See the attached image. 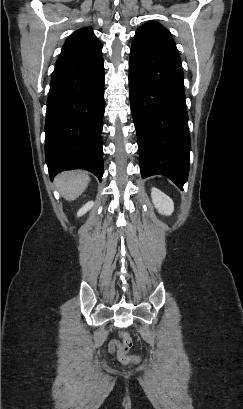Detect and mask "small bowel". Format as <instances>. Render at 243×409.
<instances>
[{
	"label": "small bowel",
	"instance_id": "small-bowel-1",
	"mask_svg": "<svg viewBox=\"0 0 243 409\" xmlns=\"http://www.w3.org/2000/svg\"><path fill=\"white\" fill-rule=\"evenodd\" d=\"M118 342L116 341V340H113L111 343H110V347H109V352H110V354H112V355H117V353H118V350H117V347H118Z\"/></svg>",
	"mask_w": 243,
	"mask_h": 409
}]
</instances>
